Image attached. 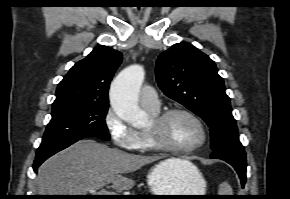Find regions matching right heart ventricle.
<instances>
[{"label":"right heart ventricle","instance_id":"obj_1","mask_svg":"<svg viewBox=\"0 0 290 199\" xmlns=\"http://www.w3.org/2000/svg\"><path fill=\"white\" fill-rule=\"evenodd\" d=\"M148 110V109H147ZM150 113H152L153 115L157 114L159 112V110L157 111H152V110H148ZM139 135V141H138V147H137V151L139 152H153L156 151L152 144L151 141L149 139V136L147 134L146 131H140L138 133Z\"/></svg>","mask_w":290,"mask_h":199}]
</instances>
